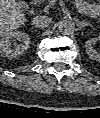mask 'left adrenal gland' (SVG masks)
<instances>
[{"label":"left adrenal gland","mask_w":100,"mask_h":118,"mask_svg":"<svg viewBox=\"0 0 100 118\" xmlns=\"http://www.w3.org/2000/svg\"><path fill=\"white\" fill-rule=\"evenodd\" d=\"M88 25H90V24L88 22H86V21H80V22H78L79 28H83V27L88 26Z\"/></svg>","instance_id":"1"}]
</instances>
